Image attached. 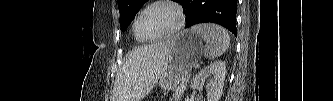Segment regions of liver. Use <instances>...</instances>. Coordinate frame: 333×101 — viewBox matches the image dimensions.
Segmentation results:
<instances>
[{"label": "liver", "instance_id": "1", "mask_svg": "<svg viewBox=\"0 0 333 101\" xmlns=\"http://www.w3.org/2000/svg\"><path fill=\"white\" fill-rule=\"evenodd\" d=\"M168 53V41L144 45L133 50L117 74L113 101L143 99L165 70Z\"/></svg>", "mask_w": 333, "mask_h": 101}]
</instances>
